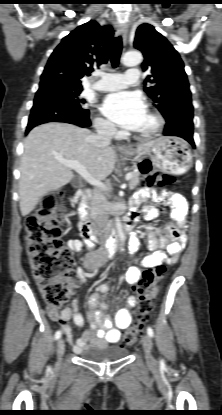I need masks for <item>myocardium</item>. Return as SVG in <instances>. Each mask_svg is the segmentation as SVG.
Masks as SVG:
<instances>
[{
	"mask_svg": "<svg viewBox=\"0 0 222 415\" xmlns=\"http://www.w3.org/2000/svg\"><path fill=\"white\" fill-rule=\"evenodd\" d=\"M146 112L153 118L154 120V126L152 129L146 131V132H136L133 131L132 135L142 141H147L155 138L160 134V132L163 130V127L165 125V120L163 116L156 110L147 108Z\"/></svg>",
	"mask_w": 222,
	"mask_h": 415,
	"instance_id": "f54148a6",
	"label": "myocardium"
}]
</instances>
